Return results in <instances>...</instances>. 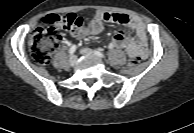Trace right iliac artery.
I'll return each mask as SVG.
<instances>
[{"label": "right iliac artery", "mask_w": 194, "mask_h": 133, "mask_svg": "<svg viewBox=\"0 0 194 133\" xmlns=\"http://www.w3.org/2000/svg\"><path fill=\"white\" fill-rule=\"evenodd\" d=\"M76 49H77V46L76 45H72L70 47V49H69V54L73 55L75 53Z\"/></svg>", "instance_id": "obj_1"}]
</instances>
